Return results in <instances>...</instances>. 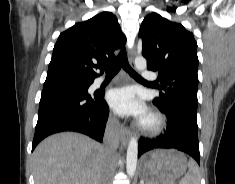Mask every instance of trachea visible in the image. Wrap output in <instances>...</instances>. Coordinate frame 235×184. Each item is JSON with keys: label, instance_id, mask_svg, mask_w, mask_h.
<instances>
[{"label": "trachea", "instance_id": "1", "mask_svg": "<svg viewBox=\"0 0 235 184\" xmlns=\"http://www.w3.org/2000/svg\"><path fill=\"white\" fill-rule=\"evenodd\" d=\"M121 67H123L134 79H139L141 81L145 80L140 75H138L128 64L125 49H122L118 57L113 60V62H111L109 65H105L103 68L106 71L107 77H114V75L119 72Z\"/></svg>", "mask_w": 235, "mask_h": 184}]
</instances>
